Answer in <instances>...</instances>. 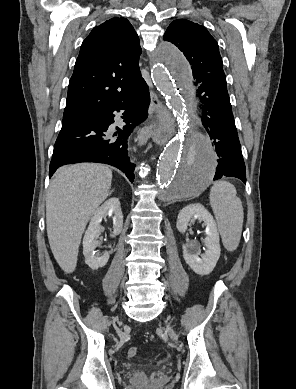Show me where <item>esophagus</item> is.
I'll return each mask as SVG.
<instances>
[{
    "mask_svg": "<svg viewBox=\"0 0 296 389\" xmlns=\"http://www.w3.org/2000/svg\"><path fill=\"white\" fill-rule=\"evenodd\" d=\"M151 95V104L150 108L155 112L151 116L152 126L156 127L157 125L163 124L170 117V114L167 108L159 100L156 93L152 92ZM145 131H138L135 134V141L138 144H147L150 141V134L147 132L149 130L148 126L144 127Z\"/></svg>",
    "mask_w": 296,
    "mask_h": 389,
    "instance_id": "34e87169",
    "label": "esophagus"
}]
</instances>
